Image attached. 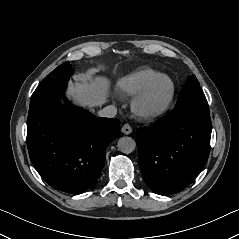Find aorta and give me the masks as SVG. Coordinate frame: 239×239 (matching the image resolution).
<instances>
[{
  "instance_id": "1",
  "label": "aorta",
  "mask_w": 239,
  "mask_h": 239,
  "mask_svg": "<svg viewBox=\"0 0 239 239\" xmlns=\"http://www.w3.org/2000/svg\"><path fill=\"white\" fill-rule=\"evenodd\" d=\"M118 148L122 153L129 154L135 150L136 142L133 138L125 136L118 141Z\"/></svg>"
}]
</instances>
